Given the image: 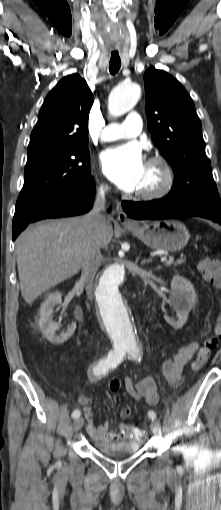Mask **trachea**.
Wrapping results in <instances>:
<instances>
[{"label":"trachea","mask_w":221,"mask_h":510,"mask_svg":"<svg viewBox=\"0 0 221 510\" xmlns=\"http://www.w3.org/2000/svg\"><path fill=\"white\" fill-rule=\"evenodd\" d=\"M121 67V59L118 53H111V58L109 62V71L111 74H116Z\"/></svg>","instance_id":"obj_1"}]
</instances>
